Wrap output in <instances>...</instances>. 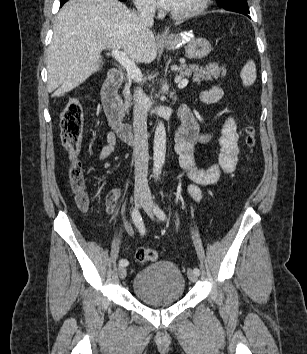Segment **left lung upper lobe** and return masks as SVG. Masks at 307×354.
I'll list each match as a JSON object with an SVG mask.
<instances>
[{
    "mask_svg": "<svg viewBox=\"0 0 307 354\" xmlns=\"http://www.w3.org/2000/svg\"><path fill=\"white\" fill-rule=\"evenodd\" d=\"M217 5L230 11L249 13L247 0H217Z\"/></svg>",
    "mask_w": 307,
    "mask_h": 354,
    "instance_id": "left-lung-upper-lobe-1",
    "label": "left lung upper lobe"
}]
</instances>
